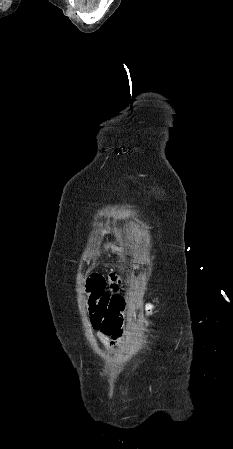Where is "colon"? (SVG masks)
<instances>
[{"instance_id": "1", "label": "colon", "mask_w": 233, "mask_h": 449, "mask_svg": "<svg viewBox=\"0 0 233 449\" xmlns=\"http://www.w3.org/2000/svg\"><path fill=\"white\" fill-rule=\"evenodd\" d=\"M109 283L110 277L106 279L99 272H92L87 278L90 318L94 328H124L129 319L126 316V303L120 293L106 292Z\"/></svg>"}]
</instances>
